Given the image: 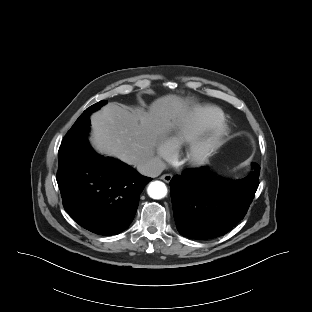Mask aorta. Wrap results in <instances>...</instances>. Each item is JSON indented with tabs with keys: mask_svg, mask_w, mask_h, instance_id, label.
I'll return each instance as SVG.
<instances>
[{
	"mask_svg": "<svg viewBox=\"0 0 312 312\" xmlns=\"http://www.w3.org/2000/svg\"><path fill=\"white\" fill-rule=\"evenodd\" d=\"M147 192L153 199H162L167 195V187L161 181H154L149 184Z\"/></svg>",
	"mask_w": 312,
	"mask_h": 312,
	"instance_id": "obj_1",
	"label": "aorta"
}]
</instances>
